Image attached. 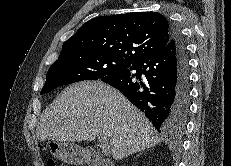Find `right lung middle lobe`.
Listing matches in <instances>:
<instances>
[{
    "instance_id": "right-lung-middle-lobe-1",
    "label": "right lung middle lobe",
    "mask_w": 231,
    "mask_h": 166,
    "mask_svg": "<svg viewBox=\"0 0 231 166\" xmlns=\"http://www.w3.org/2000/svg\"><path fill=\"white\" fill-rule=\"evenodd\" d=\"M132 61L96 52L69 54L51 65L41 95L58 86L84 80H97L127 69Z\"/></svg>"
}]
</instances>
